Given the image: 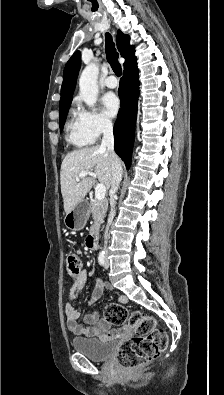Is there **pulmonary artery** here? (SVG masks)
Wrapping results in <instances>:
<instances>
[{"instance_id":"pulmonary-artery-1","label":"pulmonary artery","mask_w":224,"mask_h":395,"mask_svg":"<svg viewBox=\"0 0 224 395\" xmlns=\"http://www.w3.org/2000/svg\"><path fill=\"white\" fill-rule=\"evenodd\" d=\"M104 84L108 88H115L118 85V81L114 76H109L104 80Z\"/></svg>"}]
</instances>
